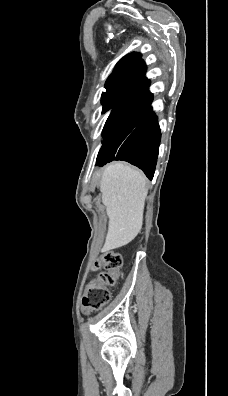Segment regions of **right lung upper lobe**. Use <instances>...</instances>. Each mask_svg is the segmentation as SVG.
<instances>
[{
  "label": "right lung upper lobe",
  "mask_w": 228,
  "mask_h": 396,
  "mask_svg": "<svg viewBox=\"0 0 228 396\" xmlns=\"http://www.w3.org/2000/svg\"><path fill=\"white\" fill-rule=\"evenodd\" d=\"M145 64L141 59L140 53H130L124 56L115 66L113 72L108 77V80H112L121 76L132 74L139 71H145Z\"/></svg>",
  "instance_id": "1"
}]
</instances>
